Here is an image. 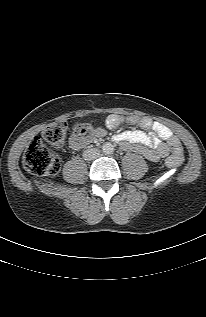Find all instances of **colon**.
<instances>
[{
  "mask_svg": "<svg viewBox=\"0 0 206 317\" xmlns=\"http://www.w3.org/2000/svg\"><path fill=\"white\" fill-rule=\"evenodd\" d=\"M68 132L66 122H57L46 127L41 137H36L26 149L23 165L27 171L39 176H55L60 171V160L49 148H62ZM97 133L93 124H78L74 127L72 138L75 141H86ZM172 154L167 158L166 165L178 167L183 162L182 147L177 138L170 141Z\"/></svg>",
  "mask_w": 206,
  "mask_h": 317,
  "instance_id": "obj_1",
  "label": "colon"
}]
</instances>
